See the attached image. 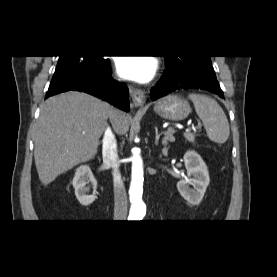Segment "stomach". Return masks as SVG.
<instances>
[{
	"instance_id": "0dacf381",
	"label": "stomach",
	"mask_w": 277,
	"mask_h": 277,
	"mask_svg": "<svg viewBox=\"0 0 277 277\" xmlns=\"http://www.w3.org/2000/svg\"><path fill=\"white\" fill-rule=\"evenodd\" d=\"M154 111L164 119L181 121L188 117L191 108L188 101L180 96L167 95L155 103Z\"/></svg>"
}]
</instances>
